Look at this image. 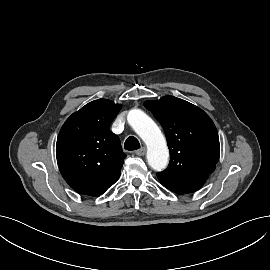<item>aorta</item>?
Listing matches in <instances>:
<instances>
[{
	"mask_svg": "<svg viewBox=\"0 0 270 270\" xmlns=\"http://www.w3.org/2000/svg\"><path fill=\"white\" fill-rule=\"evenodd\" d=\"M127 119L147 146L148 164L156 171L166 168L169 150L157 124L140 109L131 110Z\"/></svg>",
	"mask_w": 270,
	"mask_h": 270,
	"instance_id": "aorta-1",
	"label": "aorta"
}]
</instances>
